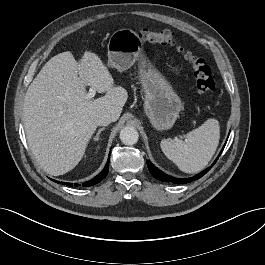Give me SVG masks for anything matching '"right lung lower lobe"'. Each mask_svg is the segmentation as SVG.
Segmentation results:
<instances>
[{"label":"right lung lower lobe","mask_w":265,"mask_h":265,"mask_svg":"<svg viewBox=\"0 0 265 265\" xmlns=\"http://www.w3.org/2000/svg\"><path fill=\"white\" fill-rule=\"evenodd\" d=\"M109 159H110V155H109ZM109 159H108V162H107L105 168L102 170V172L100 174H98L95 178H93L87 182H84L82 184L83 187L93 186V185L99 183L100 181H102V179H104L106 177V175L108 174V170H109ZM56 182L59 183V181H56ZM61 184L67 185V186H73L72 183L61 182ZM74 186H78V184L75 183ZM79 186H81V185H79Z\"/></svg>","instance_id":"obj_1"}]
</instances>
